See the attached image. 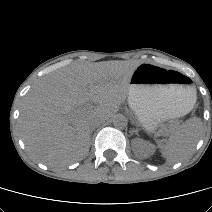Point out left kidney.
Listing matches in <instances>:
<instances>
[{
  "label": "left kidney",
  "mask_w": 212,
  "mask_h": 212,
  "mask_svg": "<svg viewBox=\"0 0 212 212\" xmlns=\"http://www.w3.org/2000/svg\"><path fill=\"white\" fill-rule=\"evenodd\" d=\"M134 143L136 144V154L139 157L146 158L154 152V146L147 141L135 139Z\"/></svg>",
  "instance_id": "left-kidney-1"
}]
</instances>
